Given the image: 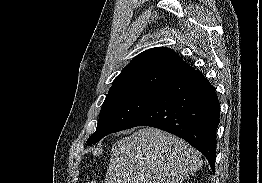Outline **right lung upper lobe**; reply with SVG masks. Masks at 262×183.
<instances>
[{
	"label": "right lung upper lobe",
	"instance_id": "right-lung-upper-lobe-1",
	"mask_svg": "<svg viewBox=\"0 0 262 183\" xmlns=\"http://www.w3.org/2000/svg\"><path fill=\"white\" fill-rule=\"evenodd\" d=\"M194 69L172 49L156 47L137 55L114 79L108 94L131 90H160Z\"/></svg>",
	"mask_w": 262,
	"mask_h": 183
}]
</instances>
